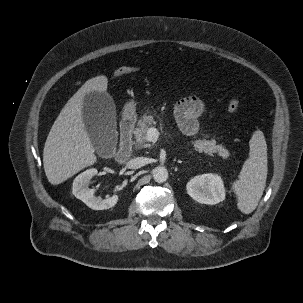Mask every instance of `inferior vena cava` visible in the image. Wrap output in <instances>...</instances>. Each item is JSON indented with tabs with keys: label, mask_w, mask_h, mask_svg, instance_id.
<instances>
[{
	"label": "inferior vena cava",
	"mask_w": 303,
	"mask_h": 303,
	"mask_svg": "<svg viewBox=\"0 0 303 303\" xmlns=\"http://www.w3.org/2000/svg\"><path fill=\"white\" fill-rule=\"evenodd\" d=\"M145 164H146L145 158L136 157V158L130 159L127 162L126 166L129 169H138V168H141L142 166H144Z\"/></svg>",
	"instance_id": "obj_1"
}]
</instances>
